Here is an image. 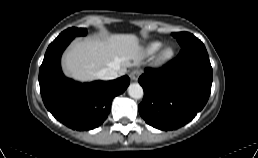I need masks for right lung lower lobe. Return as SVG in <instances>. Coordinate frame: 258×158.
Masks as SVG:
<instances>
[{
    "label": "right lung lower lobe",
    "mask_w": 258,
    "mask_h": 158,
    "mask_svg": "<svg viewBox=\"0 0 258 158\" xmlns=\"http://www.w3.org/2000/svg\"><path fill=\"white\" fill-rule=\"evenodd\" d=\"M73 39L60 36L49 45L39 70L40 92L47 110L57 120L78 131L90 130L104 122L113 98L126 90L130 79L123 76L81 84L66 78L60 58Z\"/></svg>",
    "instance_id": "right-lung-lower-lobe-1"
}]
</instances>
